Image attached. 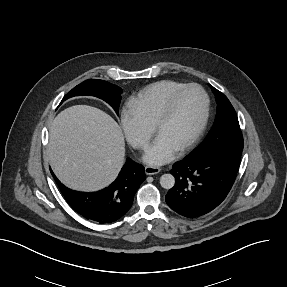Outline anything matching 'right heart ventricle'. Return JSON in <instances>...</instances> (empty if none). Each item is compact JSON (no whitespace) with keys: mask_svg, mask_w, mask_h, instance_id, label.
I'll list each match as a JSON object with an SVG mask.
<instances>
[{"mask_svg":"<svg viewBox=\"0 0 287 287\" xmlns=\"http://www.w3.org/2000/svg\"><path fill=\"white\" fill-rule=\"evenodd\" d=\"M183 85L174 80L155 82L132 97L128 102V109L136 113L145 125L152 128L168 97Z\"/></svg>","mask_w":287,"mask_h":287,"instance_id":"e07e8e85","label":"right heart ventricle"}]
</instances>
